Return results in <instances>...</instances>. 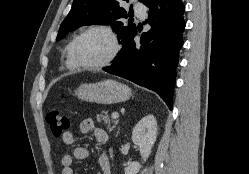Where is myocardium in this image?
<instances>
[{
	"label": "myocardium",
	"mask_w": 249,
	"mask_h": 174,
	"mask_svg": "<svg viewBox=\"0 0 249 174\" xmlns=\"http://www.w3.org/2000/svg\"><path fill=\"white\" fill-rule=\"evenodd\" d=\"M94 31H100V32L105 33L110 39L112 49L109 55L103 61L95 63V64H87V63H84L79 58L77 54V49H78V45L81 39L88 33L94 32ZM119 50H120V44H119V40H118V37L115 31L110 26L103 25V24H97V25H92V26L87 27L75 38L73 46H72V56H73V59L76 65L79 68L95 70V69L104 68L107 65H109L116 58Z\"/></svg>",
	"instance_id": "myocardium-1"
}]
</instances>
